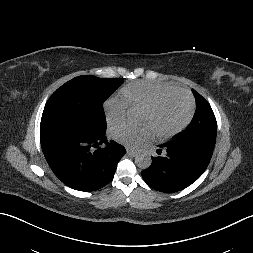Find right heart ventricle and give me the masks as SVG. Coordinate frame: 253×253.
Here are the masks:
<instances>
[{"label":"right heart ventricle","mask_w":253,"mask_h":253,"mask_svg":"<svg viewBox=\"0 0 253 253\" xmlns=\"http://www.w3.org/2000/svg\"><path fill=\"white\" fill-rule=\"evenodd\" d=\"M173 89L177 87L168 83L135 81L124 86L121 89V95L130 106L143 108L159 93Z\"/></svg>","instance_id":"1"}]
</instances>
